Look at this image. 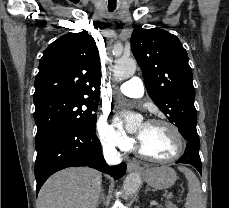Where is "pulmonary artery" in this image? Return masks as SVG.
I'll return each instance as SVG.
<instances>
[{"label":"pulmonary artery","instance_id":"e3ab8cb5","mask_svg":"<svg viewBox=\"0 0 229 208\" xmlns=\"http://www.w3.org/2000/svg\"><path fill=\"white\" fill-rule=\"evenodd\" d=\"M124 79L126 81L119 87L122 94L132 98H140L143 96L144 83L140 77L128 76Z\"/></svg>","mask_w":229,"mask_h":208}]
</instances>
